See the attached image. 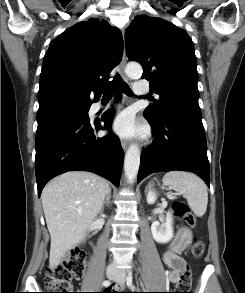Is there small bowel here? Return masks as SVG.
Masks as SVG:
<instances>
[{
    "label": "small bowel",
    "mask_w": 245,
    "mask_h": 293,
    "mask_svg": "<svg viewBox=\"0 0 245 293\" xmlns=\"http://www.w3.org/2000/svg\"><path fill=\"white\" fill-rule=\"evenodd\" d=\"M163 262L169 268L167 273V278L170 283H177L180 279L181 273L187 268L186 261L179 256L173 245H171L170 249L166 250L163 253ZM116 293H126L122 289L116 291Z\"/></svg>",
    "instance_id": "obj_1"
}]
</instances>
